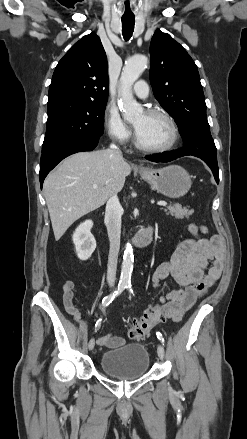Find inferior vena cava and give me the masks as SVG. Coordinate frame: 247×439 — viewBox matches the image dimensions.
<instances>
[{
    "label": "inferior vena cava",
    "mask_w": 247,
    "mask_h": 439,
    "mask_svg": "<svg viewBox=\"0 0 247 439\" xmlns=\"http://www.w3.org/2000/svg\"><path fill=\"white\" fill-rule=\"evenodd\" d=\"M110 148L116 150L118 156H122L116 145L111 144ZM123 209L120 205L116 194H112L107 201L105 211V223L107 226L108 237L110 241V249L107 264V282L110 287H113L116 280V270L118 253L120 249V235H121V217Z\"/></svg>",
    "instance_id": "602c4592"
}]
</instances>
